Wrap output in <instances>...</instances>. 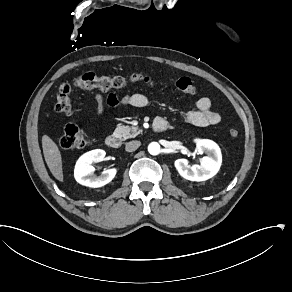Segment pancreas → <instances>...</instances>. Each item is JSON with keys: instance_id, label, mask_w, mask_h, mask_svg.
I'll use <instances>...</instances> for the list:
<instances>
[{"instance_id": "obj_1", "label": "pancreas", "mask_w": 292, "mask_h": 292, "mask_svg": "<svg viewBox=\"0 0 292 292\" xmlns=\"http://www.w3.org/2000/svg\"><path fill=\"white\" fill-rule=\"evenodd\" d=\"M142 130L138 127L130 126H118L114 131V136L120 140H126L128 138H134L140 134Z\"/></svg>"}]
</instances>
